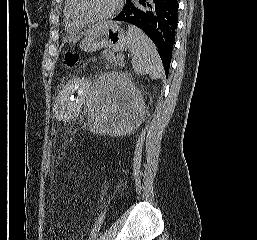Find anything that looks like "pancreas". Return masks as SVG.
<instances>
[{
	"mask_svg": "<svg viewBox=\"0 0 257 240\" xmlns=\"http://www.w3.org/2000/svg\"><path fill=\"white\" fill-rule=\"evenodd\" d=\"M119 56L122 55L115 56L113 52H107L103 55V58H106L108 63H111L113 65H120L121 60L118 59Z\"/></svg>",
	"mask_w": 257,
	"mask_h": 240,
	"instance_id": "pancreas-1",
	"label": "pancreas"
}]
</instances>
